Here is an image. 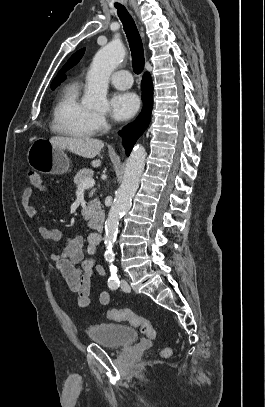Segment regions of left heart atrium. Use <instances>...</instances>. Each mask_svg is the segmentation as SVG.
Returning a JSON list of instances; mask_svg holds the SVG:
<instances>
[{
  "mask_svg": "<svg viewBox=\"0 0 265 407\" xmlns=\"http://www.w3.org/2000/svg\"><path fill=\"white\" fill-rule=\"evenodd\" d=\"M139 98L132 92H116L110 100L112 114L117 120L131 118L139 109Z\"/></svg>",
  "mask_w": 265,
  "mask_h": 407,
  "instance_id": "1",
  "label": "left heart atrium"
}]
</instances>
